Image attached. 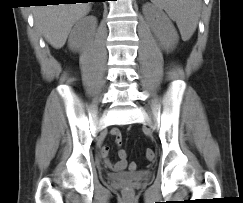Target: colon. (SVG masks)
<instances>
[{
	"instance_id": "5ec220e1",
	"label": "colon",
	"mask_w": 243,
	"mask_h": 203,
	"mask_svg": "<svg viewBox=\"0 0 243 203\" xmlns=\"http://www.w3.org/2000/svg\"><path fill=\"white\" fill-rule=\"evenodd\" d=\"M120 155H121V156H126V152H125L124 150H121V151H120ZM145 157H146V159H147L148 161H152V160H154V158H155V153H154L152 150L148 149V150H146V152H145Z\"/></svg>"
}]
</instances>
